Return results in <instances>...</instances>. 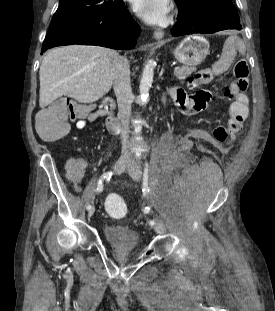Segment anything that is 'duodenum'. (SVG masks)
Masks as SVG:
<instances>
[{
  "mask_svg": "<svg viewBox=\"0 0 275 311\" xmlns=\"http://www.w3.org/2000/svg\"><path fill=\"white\" fill-rule=\"evenodd\" d=\"M103 108L106 112V128L112 134H117L120 130V121L115 115L116 105L111 99H106L103 102Z\"/></svg>",
  "mask_w": 275,
  "mask_h": 311,
  "instance_id": "duodenum-1",
  "label": "duodenum"
}]
</instances>
